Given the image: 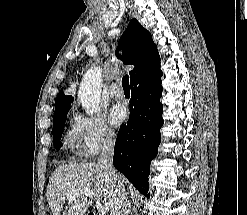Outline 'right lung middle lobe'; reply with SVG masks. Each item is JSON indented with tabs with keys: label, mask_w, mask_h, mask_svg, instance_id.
Returning <instances> with one entry per match:
<instances>
[{
	"label": "right lung middle lobe",
	"mask_w": 247,
	"mask_h": 215,
	"mask_svg": "<svg viewBox=\"0 0 247 215\" xmlns=\"http://www.w3.org/2000/svg\"><path fill=\"white\" fill-rule=\"evenodd\" d=\"M68 113V109L55 114L53 117V144L56 149H59L61 146L60 144V138L62 136V132L64 130V124L66 120V116Z\"/></svg>",
	"instance_id": "dd1d6c3e"
}]
</instances>
